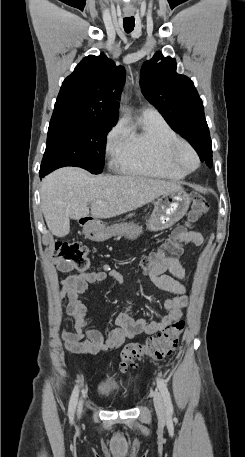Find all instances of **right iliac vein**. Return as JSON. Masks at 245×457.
Listing matches in <instances>:
<instances>
[{
  "mask_svg": "<svg viewBox=\"0 0 245 457\" xmlns=\"http://www.w3.org/2000/svg\"><path fill=\"white\" fill-rule=\"evenodd\" d=\"M81 411H82V403H80L79 406H78V413L80 414Z\"/></svg>",
  "mask_w": 245,
  "mask_h": 457,
  "instance_id": "63e3f726",
  "label": "right iliac vein"
}]
</instances>
